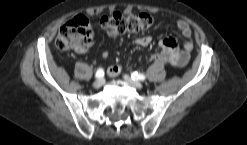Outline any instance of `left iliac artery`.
<instances>
[{
	"mask_svg": "<svg viewBox=\"0 0 247 145\" xmlns=\"http://www.w3.org/2000/svg\"><path fill=\"white\" fill-rule=\"evenodd\" d=\"M131 76H132V79L133 80H141V81H144L146 79V76L144 74H140V73H138L136 71L133 72Z\"/></svg>",
	"mask_w": 247,
	"mask_h": 145,
	"instance_id": "left-iliac-artery-1",
	"label": "left iliac artery"
}]
</instances>
